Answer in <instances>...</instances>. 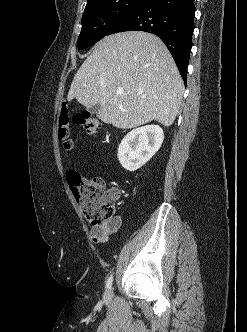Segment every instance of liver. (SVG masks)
I'll list each match as a JSON object with an SVG mask.
<instances>
[{
	"label": "liver",
	"instance_id": "6515ba94",
	"mask_svg": "<svg viewBox=\"0 0 247 332\" xmlns=\"http://www.w3.org/2000/svg\"><path fill=\"white\" fill-rule=\"evenodd\" d=\"M122 89L123 94H117ZM184 84L165 44L141 31L108 35L75 74L68 92L97 117L120 129L156 120L169 127L181 104Z\"/></svg>",
	"mask_w": 247,
	"mask_h": 332
}]
</instances>
